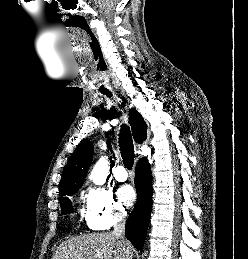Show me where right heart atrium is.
Returning a JSON list of instances; mask_svg holds the SVG:
<instances>
[{
	"mask_svg": "<svg viewBox=\"0 0 248 259\" xmlns=\"http://www.w3.org/2000/svg\"><path fill=\"white\" fill-rule=\"evenodd\" d=\"M125 209L113 193L102 188L90 187L86 194V221L94 230H106L124 220Z\"/></svg>",
	"mask_w": 248,
	"mask_h": 259,
	"instance_id": "obj_1",
	"label": "right heart atrium"
}]
</instances>
